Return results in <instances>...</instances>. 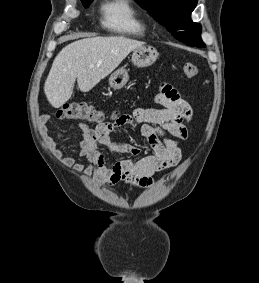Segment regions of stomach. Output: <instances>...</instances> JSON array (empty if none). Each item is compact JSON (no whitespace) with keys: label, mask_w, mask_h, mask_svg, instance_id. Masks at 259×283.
Returning <instances> with one entry per match:
<instances>
[{"label":"stomach","mask_w":259,"mask_h":283,"mask_svg":"<svg viewBox=\"0 0 259 283\" xmlns=\"http://www.w3.org/2000/svg\"><path fill=\"white\" fill-rule=\"evenodd\" d=\"M158 57L157 50L152 46L143 45L136 48L132 53V62L137 67H148ZM129 80L128 71L125 68L117 69L109 78V85L113 89H121Z\"/></svg>","instance_id":"1"}]
</instances>
